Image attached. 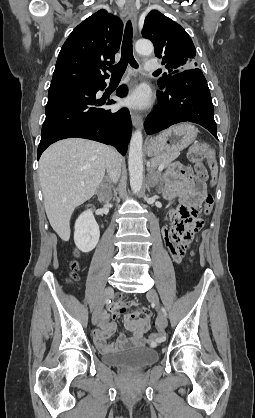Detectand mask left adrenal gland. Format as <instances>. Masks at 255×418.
Returning a JSON list of instances; mask_svg holds the SVG:
<instances>
[{
  "mask_svg": "<svg viewBox=\"0 0 255 418\" xmlns=\"http://www.w3.org/2000/svg\"><path fill=\"white\" fill-rule=\"evenodd\" d=\"M148 171L150 173H155L158 177H160V173H156L155 170L152 167H148ZM149 184L151 185V187H154L156 185V183H151V179L149 178Z\"/></svg>",
  "mask_w": 255,
  "mask_h": 418,
  "instance_id": "1",
  "label": "left adrenal gland"
}]
</instances>
